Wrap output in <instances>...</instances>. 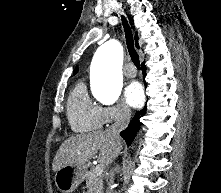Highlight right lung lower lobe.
<instances>
[{"mask_svg": "<svg viewBox=\"0 0 221 193\" xmlns=\"http://www.w3.org/2000/svg\"><path fill=\"white\" fill-rule=\"evenodd\" d=\"M142 72L145 77L146 67L144 63L142 64ZM145 114H146V107H144L140 111H137L133 119L130 121L128 127L120 133V135L123 137V139L126 141L128 145L131 144L134 136L136 135L137 131L140 128V118Z\"/></svg>", "mask_w": 221, "mask_h": 193, "instance_id": "right-lung-lower-lobe-1", "label": "right lung lower lobe"}]
</instances>
